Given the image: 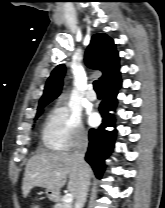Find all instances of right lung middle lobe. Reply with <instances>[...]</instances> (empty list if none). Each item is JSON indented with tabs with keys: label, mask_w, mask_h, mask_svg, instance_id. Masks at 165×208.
I'll use <instances>...</instances> for the list:
<instances>
[{
	"label": "right lung middle lobe",
	"mask_w": 165,
	"mask_h": 208,
	"mask_svg": "<svg viewBox=\"0 0 165 208\" xmlns=\"http://www.w3.org/2000/svg\"><path fill=\"white\" fill-rule=\"evenodd\" d=\"M42 113V110L37 111V117Z\"/></svg>",
	"instance_id": "dd1d6c3e"
}]
</instances>
